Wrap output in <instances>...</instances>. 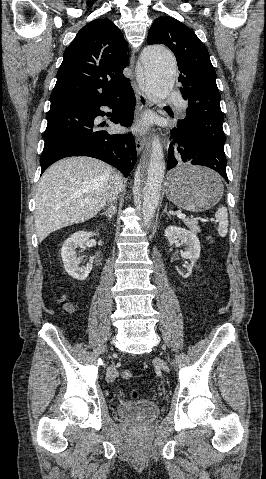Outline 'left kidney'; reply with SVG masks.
<instances>
[{"mask_svg": "<svg viewBox=\"0 0 266 479\" xmlns=\"http://www.w3.org/2000/svg\"><path fill=\"white\" fill-rule=\"evenodd\" d=\"M165 236L169 240L170 243H174L177 239L181 240L184 243L188 250L184 252V258L190 260V265L188 266L187 272H183L178 270V273L183 278H188L192 273V268L194 263L200 256V242L197 238L196 234L190 232L184 228L176 227V226H169L165 229Z\"/></svg>", "mask_w": 266, "mask_h": 479, "instance_id": "left-kidney-1", "label": "left kidney"}]
</instances>
